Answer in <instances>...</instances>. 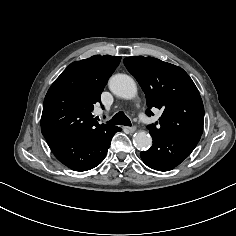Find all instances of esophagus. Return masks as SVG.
<instances>
[{
	"instance_id": "esophagus-1",
	"label": "esophagus",
	"mask_w": 236,
	"mask_h": 236,
	"mask_svg": "<svg viewBox=\"0 0 236 236\" xmlns=\"http://www.w3.org/2000/svg\"><path fill=\"white\" fill-rule=\"evenodd\" d=\"M128 131L130 133H134L136 131V127L135 126H132V127H127Z\"/></svg>"
}]
</instances>
